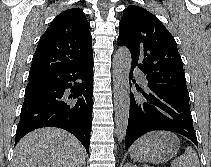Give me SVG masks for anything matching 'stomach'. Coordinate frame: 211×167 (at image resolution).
<instances>
[{
    "label": "stomach",
    "mask_w": 211,
    "mask_h": 167,
    "mask_svg": "<svg viewBox=\"0 0 211 167\" xmlns=\"http://www.w3.org/2000/svg\"><path fill=\"white\" fill-rule=\"evenodd\" d=\"M179 146L180 142L175 134L155 131L137 140L130 148V156L140 162L162 163L173 158Z\"/></svg>",
    "instance_id": "0dacf381"
}]
</instances>
